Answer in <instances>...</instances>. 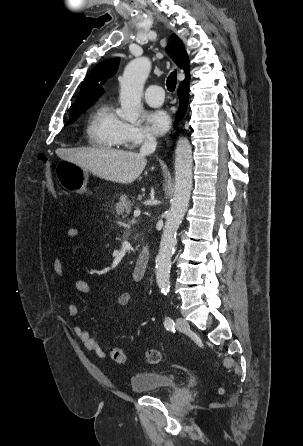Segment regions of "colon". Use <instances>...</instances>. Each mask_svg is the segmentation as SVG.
<instances>
[{
	"label": "colon",
	"mask_w": 303,
	"mask_h": 446,
	"mask_svg": "<svg viewBox=\"0 0 303 446\" xmlns=\"http://www.w3.org/2000/svg\"><path fill=\"white\" fill-rule=\"evenodd\" d=\"M40 160L43 164L44 169V175H45V181H46V187L47 189L55 196H58L59 190L57 187V184L54 180V177L52 175V172L50 170L49 162L47 158L43 155L40 156ZM110 354L112 359L119 365H123L126 363V355L124 351L117 347L110 348ZM161 353L155 349H150L146 352V360L150 364H157L161 361ZM221 391H223V388H221Z\"/></svg>",
	"instance_id": "1"
}]
</instances>
